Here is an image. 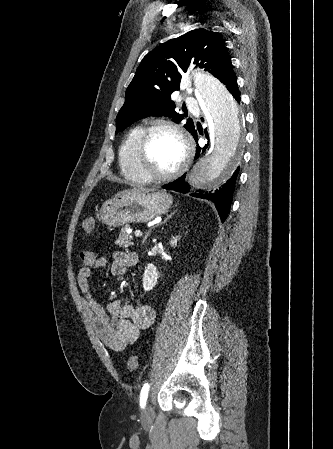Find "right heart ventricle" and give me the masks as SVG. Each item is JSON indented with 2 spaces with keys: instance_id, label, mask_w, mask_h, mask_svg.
Segmentation results:
<instances>
[{
  "instance_id": "1",
  "label": "right heart ventricle",
  "mask_w": 333,
  "mask_h": 449,
  "mask_svg": "<svg viewBox=\"0 0 333 449\" xmlns=\"http://www.w3.org/2000/svg\"><path fill=\"white\" fill-rule=\"evenodd\" d=\"M142 125H135L125 135L118 151L119 165L123 176L129 180L148 182L137 170L135 162L136 142L143 130Z\"/></svg>"
}]
</instances>
